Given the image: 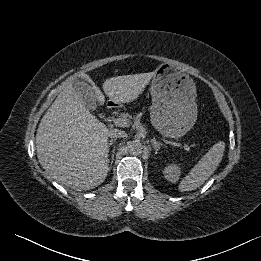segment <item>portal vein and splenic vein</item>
<instances>
[{"label":"portal vein and splenic vein","mask_w":261,"mask_h":261,"mask_svg":"<svg viewBox=\"0 0 261 261\" xmlns=\"http://www.w3.org/2000/svg\"><path fill=\"white\" fill-rule=\"evenodd\" d=\"M114 124L119 127H127L130 125V121L127 118H116L114 119ZM184 150L190 151V147L184 143H178Z\"/></svg>","instance_id":"18ae733b"}]
</instances>
